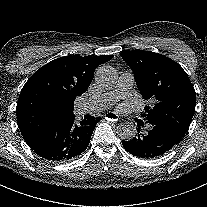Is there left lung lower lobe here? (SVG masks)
<instances>
[{"label": "left lung lower lobe", "mask_w": 207, "mask_h": 207, "mask_svg": "<svg viewBox=\"0 0 207 207\" xmlns=\"http://www.w3.org/2000/svg\"><path fill=\"white\" fill-rule=\"evenodd\" d=\"M138 122V134L130 141H122L125 150L134 156L142 158H153L168 152L180 142L171 132L152 125L148 133H140V127L144 126L142 120Z\"/></svg>", "instance_id": "0a47b994"}]
</instances>
